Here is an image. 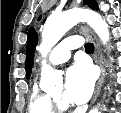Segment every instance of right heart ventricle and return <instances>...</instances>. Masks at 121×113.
Wrapping results in <instances>:
<instances>
[{"instance_id": "right-heart-ventricle-1", "label": "right heart ventricle", "mask_w": 121, "mask_h": 113, "mask_svg": "<svg viewBox=\"0 0 121 113\" xmlns=\"http://www.w3.org/2000/svg\"><path fill=\"white\" fill-rule=\"evenodd\" d=\"M29 113H52L53 106L48 94L35 84L29 97Z\"/></svg>"}]
</instances>
